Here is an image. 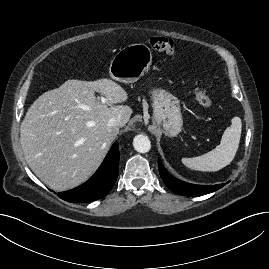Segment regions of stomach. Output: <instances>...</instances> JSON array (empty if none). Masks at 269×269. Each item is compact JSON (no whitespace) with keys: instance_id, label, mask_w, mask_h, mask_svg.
I'll return each instance as SVG.
<instances>
[{"instance_id":"0dacf381","label":"stomach","mask_w":269,"mask_h":269,"mask_svg":"<svg viewBox=\"0 0 269 269\" xmlns=\"http://www.w3.org/2000/svg\"><path fill=\"white\" fill-rule=\"evenodd\" d=\"M152 57V51L146 44L136 43L126 46L111 60L110 77L122 83H134L149 71ZM150 93L154 126L166 136H177L183 125L179 101L170 92L161 88H154Z\"/></svg>"}]
</instances>
